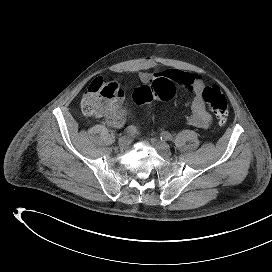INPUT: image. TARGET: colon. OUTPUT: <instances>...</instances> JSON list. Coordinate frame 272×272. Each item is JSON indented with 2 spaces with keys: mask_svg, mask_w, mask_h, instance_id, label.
<instances>
[{
  "mask_svg": "<svg viewBox=\"0 0 272 272\" xmlns=\"http://www.w3.org/2000/svg\"><path fill=\"white\" fill-rule=\"evenodd\" d=\"M176 85L166 78H157L134 91L133 99L137 104L153 100H169L176 92ZM203 100L223 126L228 119L229 107L225 95L217 85L204 86L201 90ZM123 92L115 82L94 79L87 88L81 101V110L87 116L113 117L118 111V102Z\"/></svg>",
  "mask_w": 272,
  "mask_h": 272,
  "instance_id": "obj_1",
  "label": "colon"
}]
</instances>
